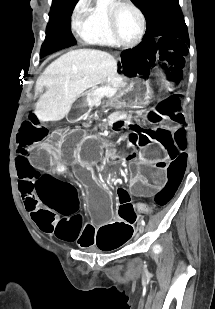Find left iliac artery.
<instances>
[{
  "label": "left iliac artery",
  "mask_w": 215,
  "mask_h": 309,
  "mask_svg": "<svg viewBox=\"0 0 215 309\" xmlns=\"http://www.w3.org/2000/svg\"><path fill=\"white\" fill-rule=\"evenodd\" d=\"M141 223L145 226V221L144 220H141Z\"/></svg>",
  "instance_id": "obj_1"
}]
</instances>
